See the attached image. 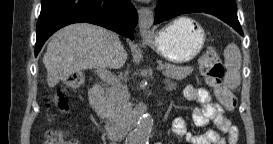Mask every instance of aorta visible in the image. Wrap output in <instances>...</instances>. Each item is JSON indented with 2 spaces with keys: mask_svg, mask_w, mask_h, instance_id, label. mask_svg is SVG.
I'll return each mask as SVG.
<instances>
[{
  "mask_svg": "<svg viewBox=\"0 0 273 144\" xmlns=\"http://www.w3.org/2000/svg\"><path fill=\"white\" fill-rule=\"evenodd\" d=\"M152 127L153 119L151 116L149 114L143 115L129 136V144H148Z\"/></svg>",
  "mask_w": 273,
  "mask_h": 144,
  "instance_id": "1",
  "label": "aorta"
}]
</instances>
